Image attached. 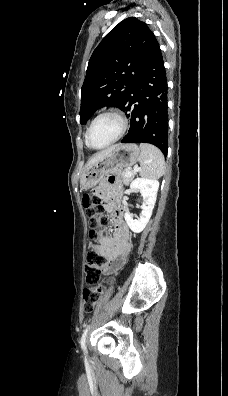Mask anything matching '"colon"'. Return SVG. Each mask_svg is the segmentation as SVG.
<instances>
[{
    "mask_svg": "<svg viewBox=\"0 0 228 396\" xmlns=\"http://www.w3.org/2000/svg\"><path fill=\"white\" fill-rule=\"evenodd\" d=\"M83 205L90 218L92 226L90 236L94 242L87 254L86 272L89 286L83 290V308L86 312H91L96 307L104 290V286L98 281L103 266V257L98 251L97 241L99 238L107 236L104 227L107 225L108 219L104 215L101 200L97 195L84 194Z\"/></svg>",
    "mask_w": 228,
    "mask_h": 396,
    "instance_id": "1",
    "label": "colon"
}]
</instances>
